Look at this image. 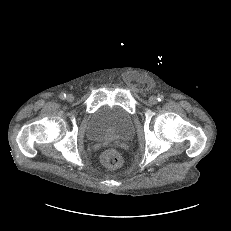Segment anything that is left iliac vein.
Returning a JSON list of instances; mask_svg holds the SVG:
<instances>
[{
    "mask_svg": "<svg viewBox=\"0 0 231 231\" xmlns=\"http://www.w3.org/2000/svg\"><path fill=\"white\" fill-rule=\"evenodd\" d=\"M149 102H150V104H156L158 102V99L155 96H151L149 98Z\"/></svg>",
    "mask_w": 231,
    "mask_h": 231,
    "instance_id": "obj_1",
    "label": "left iliac vein"
}]
</instances>
